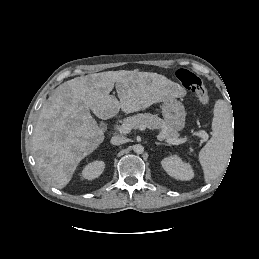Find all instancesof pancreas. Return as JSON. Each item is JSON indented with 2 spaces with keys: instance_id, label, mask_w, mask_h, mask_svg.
<instances>
[{
  "instance_id": "obj_1",
  "label": "pancreas",
  "mask_w": 259,
  "mask_h": 259,
  "mask_svg": "<svg viewBox=\"0 0 259 259\" xmlns=\"http://www.w3.org/2000/svg\"><path fill=\"white\" fill-rule=\"evenodd\" d=\"M123 123L130 124L132 129H157L160 131V136L165 139L178 137V132L176 131V129L172 125L168 124L166 121L159 118L157 115H152L149 113L137 114L132 117L126 118Z\"/></svg>"
}]
</instances>
